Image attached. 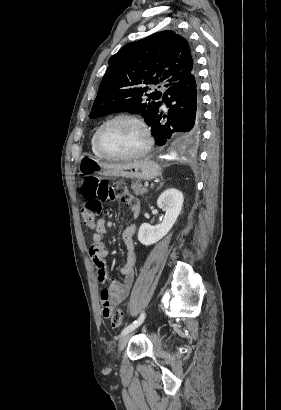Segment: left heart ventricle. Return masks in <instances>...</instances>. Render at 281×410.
Here are the masks:
<instances>
[{
    "instance_id": "obj_1",
    "label": "left heart ventricle",
    "mask_w": 281,
    "mask_h": 410,
    "mask_svg": "<svg viewBox=\"0 0 281 410\" xmlns=\"http://www.w3.org/2000/svg\"><path fill=\"white\" fill-rule=\"evenodd\" d=\"M101 141L108 152L124 155L139 151L145 143V135L136 123L123 119L107 126Z\"/></svg>"
}]
</instances>
